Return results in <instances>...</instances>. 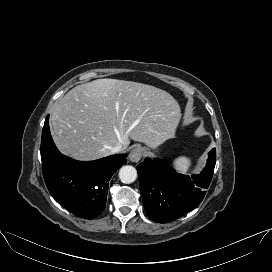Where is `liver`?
<instances>
[{
	"mask_svg": "<svg viewBox=\"0 0 272 272\" xmlns=\"http://www.w3.org/2000/svg\"><path fill=\"white\" fill-rule=\"evenodd\" d=\"M178 102L151 85L97 79L71 89L55 105L50 128L59 150L73 159L91 161L126 150L130 139L157 148L175 136Z\"/></svg>",
	"mask_w": 272,
	"mask_h": 272,
	"instance_id": "liver-1",
	"label": "liver"
}]
</instances>
